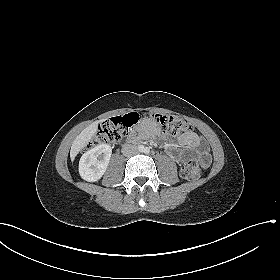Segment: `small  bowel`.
<instances>
[{
	"label": "small bowel",
	"mask_w": 280,
	"mask_h": 280,
	"mask_svg": "<svg viewBox=\"0 0 280 280\" xmlns=\"http://www.w3.org/2000/svg\"><path fill=\"white\" fill-rule=\"evenodd\" d=\"M148 131L149 123L145 120L142 123L141 130L138 132L137 135H135V139H144L147 136ZM178 141L180 146H182L183 148L195 150L199 154L201 162L204 166H207L209 164L210 156L208 152V147L205 141L195 132H188L182 134L179 137ZM177 160L181 162L183 160V157L180 155L178 156Z\"/></svg>",
	"instance_id": "1"
}]
</instances>
